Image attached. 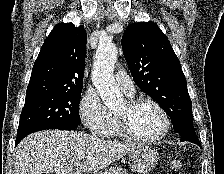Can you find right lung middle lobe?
I'll return each instance as SVG.
<instances>
[{"label":"right lung middle lobe","mask_w":224,"mask_h":174,"mask_svg":"<svg viewBox=\"0 0 224 174\" xmlns=\"http://www.w3.org/2000/svg\"><path fill=\"white\" fill-rule=\"evenodd\" d=\"M81 92L82 90L50 91L26 95L18 132L80 125Z\"/></svg>","instance_id":"dd1d6c3e"}]
</instances>
